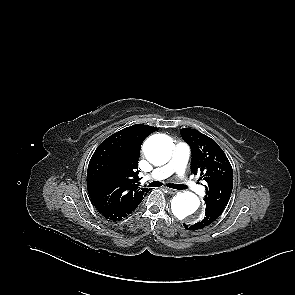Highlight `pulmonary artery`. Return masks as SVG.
Here are the masks:
<instances>
[{
	"label": "pulmonary artery",
	"instance_id": "pulmonary-artery-1",
	"mask_svg": "<svg viewBox=\"0 0 295 295\" xmlns=\"http://www.w3.org/2000/svg\"><path fill=\"white\" fill-rule=\"evenodd\" d=\"M190 149L185 143H179L174 151L172 159L164 166L154 169L147 177L149 179L163 180L173 173H176L183 185L198 194L204 192V187L198 185L185 175Z\"/></svg>",
	"mask_w": 295,
	"mask_h": 295
}]
</instances>
